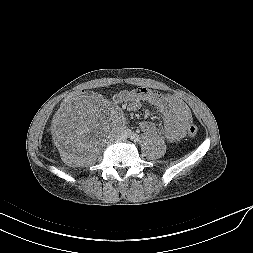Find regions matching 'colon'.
I'll return each instance as SVG.
<instances>
[{"instance_id":"5ec220e1","label":"colon","mask_w":253,"mask_h":253,"mask_svg":"<svg viewBox=\"0 0 253 253\" xmlns=\"http://www.w3.org/2000/svg\"><path fill=\"white\" fill-rule=\"evenodd\" d=\"M91 98L92 100L98 99V94L94 92L93 90H85V91H77L72 94H70L68 97L64 99L65 105H70L71 103H74L80 98ZM198 132V129L195 125H191L187 129V133L189 136L194 137L196 136Z\"/></svg>"}]
</instances>
